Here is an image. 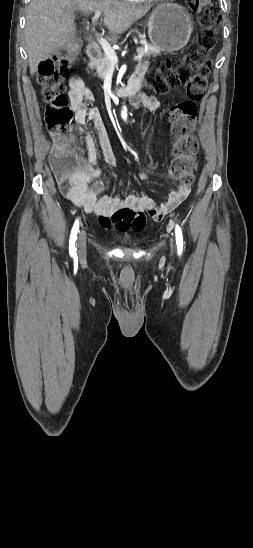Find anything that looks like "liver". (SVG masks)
I'll return each instance as SVG.
<instances>
[{"label": "liver", "mask_w": 253, "mask_h": 548, "mask_svg": "<svg viewBox=\"0 0 253 548\" xmlns=\"http://www.w3.org/2000/svg\"><path fill=\"white\" fill-rule=\"evenodd\" d=\"M149 7H133L118 0H31L27 7L25 43L30 74L40 62L74 40L75 11H100L103 23L116 38L142 18Z\"/></svg>", "instance_id": "obj_1"}]
</instances>
